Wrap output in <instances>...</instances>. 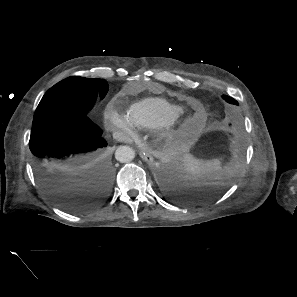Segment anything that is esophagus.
Masks as SVG:
<instances>
[{
	"instance_id": "1",
	"label": "esophagus",
	"mask_w": 297,
	"mask_h": 297,
	"mask_svg": "<svg viewBox=\"0 0 297 297\" xmlns=\"http://www.w3.org/2000/svg\"><path fill=\"white\" fill-rule=\"evenodd\" d=\"M140 156H141V158L145 161V162H147V163H152L153 161H154V158H153V156H152V154L150 153V152H148V151H145V152H141L140 153Z\"/></svg>"
}]
</instances>
